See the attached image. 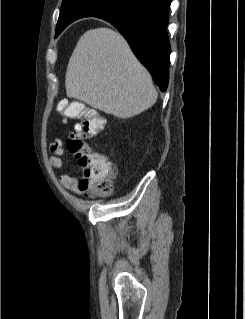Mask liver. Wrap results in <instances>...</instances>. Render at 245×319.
<instances>
[{
	"label": "liver",
	"mask_w": 245,
	"mask_h": 319,
	"mask_svg": "<svg viewBox=\"0 0 245 319\" xmlns=\"http://www.w3.org/2000/svg\"><path fill=\"white\" fill-rule=\"evenodd\" d=\"M65 87L69 98L124 119L149 109L158 97L149 72L125 39L109 28L91 29L80 37Z\"/></svg>",
	"instance_id": "6515ba94"
}]
</instances>
